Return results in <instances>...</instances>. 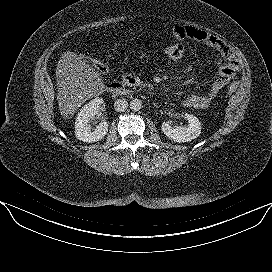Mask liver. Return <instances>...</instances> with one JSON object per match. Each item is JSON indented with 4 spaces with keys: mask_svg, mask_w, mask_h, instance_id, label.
Returning a JSON list of instances; mask_svg holds the SVG:
<instances>
[{
    "mask_svg": "<svg viewBox=\"0 0 272 272\" xmlns=\"http://www.w3.org/2000/svg\"><path fill=\"white\" fill-rule=\"evenodd\" d=\"M57 100L64 119L71 118L87 100L104 91L98 71L74 52H65L56 68Z\"/></svg>",
    "mask_w": 272,
    "mask_h": 272,
    "instance_id": "1",
    "label": "liver"
}]
</instances>
